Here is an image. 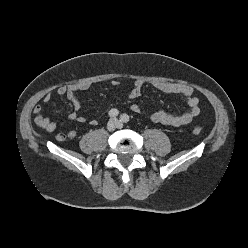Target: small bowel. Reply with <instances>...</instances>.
Masks as SVG:
<instances>
[{
    "label": "small bowel",
    "instance_id": "small-bowel-1",
    "mask_svg": "<svg viewBox=\"0 0 248 248\" xmlns=\"http://www.w3.org/2000/svg\"><path fill=\"white\" fill-rule=\"evenodd\" d=\"M111 84L117 86L119 84L118 80H112ZM152 86L167 94H177L185 99L190 110L182 115H171L163 110H157L152 113L147 114V117L154 123H159L167 127L177 128L190 124L201 112L199 107V98L194 95L193 88L179 83L171 82H153ZM90 82H82L71 84L67 86H60L57 88L56 93L59 96H66L68 100L72 103L73 111L69 114V118L73 121L79 123H85L86 118L81 114V101L77 93L81 91H86L90 89ZM143 88V81L136 80L133 83V86L129 92V97L131 99H136L141 95ZM52 99V94L47 93L43 97L44 103H49ZM131 110L135 113H143L142 108L138 104L131 105ZM33 112L35 114L34 122L37 127L40 129L46 130L48 132H53L57 128L55 121L51 120L49 117L45 116L43 113V108L40 104L35 105ZM90 124L96 126L98 121L93 119L90 121ZM77 136L75 130H69L66 134L58 132L56 134V139L58 141H63L66 138L74 139Z\"/></svg>",
    "mask_w": 248,
    "mask_h": 248
}]
</instances>
